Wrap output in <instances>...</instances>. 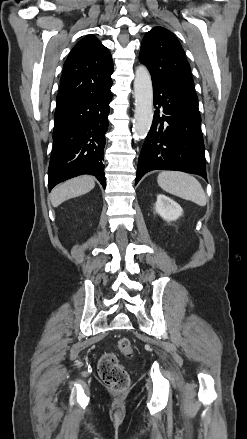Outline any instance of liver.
Returning <instances> with one entry per match:
<instances>
[{"instance_id": "liver-1", "label": "liver", "mask_w": 247, "mask_h": 439, "mask_svg": "<svg viewBox=\"0 0 247 439\" xmlns=\"http://www.w3.org/2000/svg\"><path fill=\"white\" fill-rule=\"evenodd\" d=\"M95 186V180L92 176H79L56 186L51 194V203L54 207L59 206L64 201L84 195L90 192Z\"/></svg>"}]
</instances>
